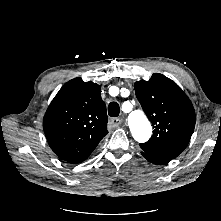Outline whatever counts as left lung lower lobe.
Masks as SVG:
<instances>
[{
	"label": "left lung lower lobe",
	"mask_w": 221,
	"mask_h": 221,
	"mask_svg": "<svg viewBox=\"0 0 221 221\" xmlns=\"http://www.w3.org/2000/svg\"><path fill=\"white\" fill-rule=\"evenodd\" d=\"M142 155L150 162L154 164H165L171 161V158H166V157H157V156H151L145 152H142Z\"/></svg>",
	"instance_id": "1"
}]
</instances>
